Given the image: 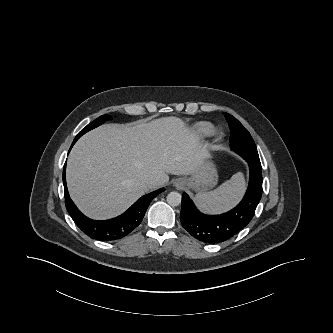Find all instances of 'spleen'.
Segmentation results:
<instances>
[{"label":"spleen","instance_id":"3e777b00","mask_svg":"<svg viewBox=\"0 0 333 333\" xmlns=\"http://www.w3.org/2000/svg\"><path fill=\"white\" fill-rule=\"evenodd\" d=\"M244 189V176L241 172H238L214 191L198 193L195 201L204 212L220 213L235 206L240 200Z\"/></svg>","mask_w":333,"mask_h":333}]
</instances>
